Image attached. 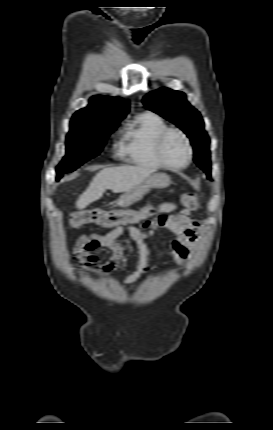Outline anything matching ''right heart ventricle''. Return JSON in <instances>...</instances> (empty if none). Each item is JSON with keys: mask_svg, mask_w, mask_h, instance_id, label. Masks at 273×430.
Instances as JSON below:
<instances>
[{"mask_svg": "<svg viewBox=\"0 0 273 430\" xmlns=\"http://www.w3.org/2000/svg\"><path fill=\"white\" fill-rule=\"evenodd\" d=\"M169 128L156 113L144 112L129 122L122 136V154L132 164L149 169L164 166L156 155V141L162 131Z\"/></svg>", "mask_w": 273, "mask_h": 430, "instance_id": "1", "label": "right heart ventricle"}]
</instances>
